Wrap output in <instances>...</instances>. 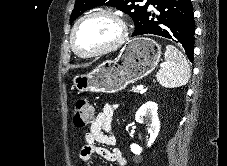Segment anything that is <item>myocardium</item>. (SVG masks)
I'll list each match as a JSON object with an SVG mask.
<instances>
[{
    "instance_id": "1",
    "label": "myocardium",
    "mask_w": 227,
    "mask_h": 166,
    "mask_svg": "<svg viewBox=\"0 0 227 166\" xmlns=\"http://www.w3.org/2000/svg\"><path fill=\"white\" fill-rule=\"evenodd\" d=\"M95 16H105L114 20L120 27V36L114 43L104 48H101L99 50L92 51V52H82L81 50L78 49L75 43L76 31L80 26V24H82L85 20ZM127 38H128V28L125 21L122 19V17L116 12L100 10V11H93V12L87 13L75 22L70 33V44L74 53L82 57L91 58V57L102 56L117 50L126 42Z\"/></svg>"
}]
</instances>
